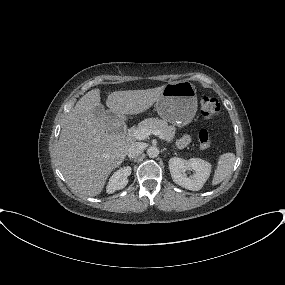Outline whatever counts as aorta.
Listing matches in <instances>:
<instances>
[{"label": "aorta", "mask_w": 285, "mask_h": 285, "mask_svg": "<svg viewBox=\"0 0 285 285\" xmlns=\"http://www.w3.org/2000/svg\"><path fill=\"white\" fill-rule=\"evenodd\" d=\"M147 155L150 158H155V157H157L159 155V149L156 146H150L147 149Z\"/></svg>", "instance_id": "aorta-1"}]
</instances>
